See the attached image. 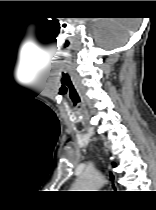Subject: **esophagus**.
Listing matches in <instances>:
<instances>
[{
	"label": "esophagus",
	"instance_id": "esophagus-1",
	"mask_svg": "<svg viewBox=\"0 0 156 210\" xmlns=\"http://www.w3.org/2000/svg\"><path fill=\"white\" fill-rule=\"evenodd\" d=\"M110 169V167H109ZM108 179H109V190L113 191L117 185H116V176L114 174L108 173Z\"/></svg>",
	"mask_w": 156,
	"mask_h": 210
}]
</instances>
